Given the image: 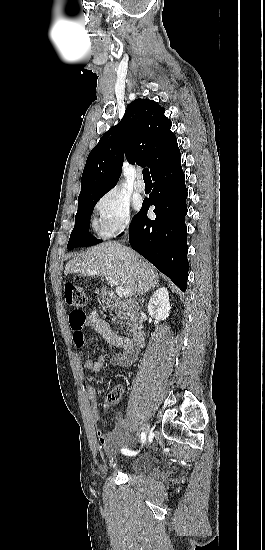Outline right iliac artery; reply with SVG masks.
I'll return each mask as SVG.
<instances>
[{
	"label": "right iliac artery",
	"mask_w": 265,
	"mask_h": 550,
	"mask_svg": "<svg viewBox=\"0 0 265 550\" xmlns=\"http://www.w3.org/2000/svg\"><path fill=\"white\" fill-rule=\"evenodd\" d=\"M145 441H146V435L142 432V433H141V442H142V444H144ZM122 452H123V453H132V454H136V453H137V452H130L129 450L124 449V448L122 449Z\"/></svg>",
	"instance_id": "1"
}]
</instances>
